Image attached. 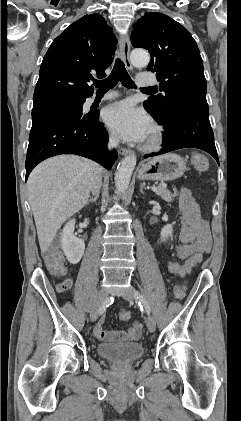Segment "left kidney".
Returning a JSON list of instances; mask_svg holds the SVG:
<instances>
[{"instance_id":"1","label":"left kidney","mask_w":241,"mask_h":421,"mask_svg":"<svg viewBox=\"0 0 241 421\" xmlns=\"http://www.w3.org/2000/svg\"><path fill=\"white\" fill-rule=\"evenodd\" d=\"M172 233H173L172 225H166L161 230V237L165 239L168 236H172Z\"/></svg>"}]
</instances>
